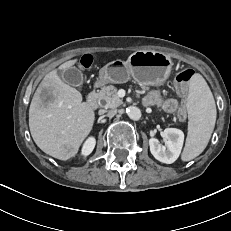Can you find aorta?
I'll list each match as a JSON object with an SVG mask.
<instances>
[{"instance_id": "762f6f07", "label": "aorta", "mask_w": 231, "mask_h": 231, "mask_svg": "<svg viewBox=\"0 0 231 231\" xmlns=\"http://www.w3.org/2000/svg\"><path fill=\"white\" fill-rule=\"evenodd\" d=\"M126 112L128 114V116L130 117V119L132 120H139L141 118V111L139 108L135 107V106H130L126 109Z\"/></svg>"}]
</instances>
